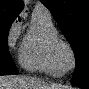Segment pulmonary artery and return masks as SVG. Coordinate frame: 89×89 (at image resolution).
Wrapping results in <instances>:
<instances>
[{
  "instance_id": "1",
  "label": "pulmonary artery",
  "mask_w": 89,
  "mask_h": 89,
  "mask_svg": "<svg viewBox=\"0 0 89 89\" xmlns=\"http://www.w3.org/2000/svg\"><path fill=\"white\" fill-rule=\"evenodd\" d=\"M34 12L50 14L49 10L42 4L38 3L34 9Z\"/></svg>"
}]
</instances>
